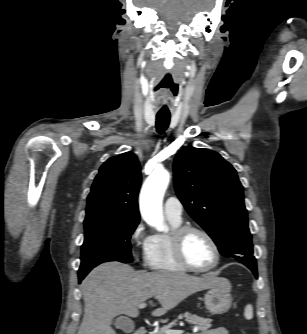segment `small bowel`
Masks as SVG:
<instances>
[{"mask_svg":"<svg viewBox=\"0 0 307 334\" xmlns=\"http://www.w3.org/2000/svg\"><path fill=\"white\" fill-rule=\"evenodd\" d=\"M201 334H229L227 329L224 327H218L215 329H210L205 332H202Z\"/></svg>","mask_w":307,"mask_h":334,"instance_id":"1","label":"small bowel"}]
</instances>
